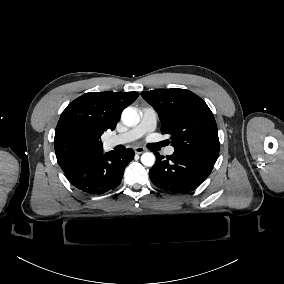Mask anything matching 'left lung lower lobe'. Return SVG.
Returning <instances> with one entry per match:
<instances>
[{"instance_id":"obj_1","label":"left lung lower lobe","mask_w":284,"mask_h":284,"mask_svg":"<svg viewBox=\"0 0 284 284\" xmlns=\"http://www.w3.org/2000/svg\"><path fill=\"white\" fill-rule=\"evenodd\" d=\"M157 161L149 170L152 183L172 193H188L197 188L211 173L212 163L198 157L173 153L166 158L155 153Z\"/></svg>"}]
</instances>
